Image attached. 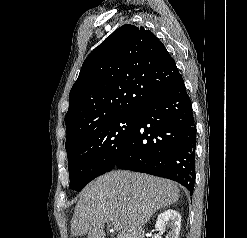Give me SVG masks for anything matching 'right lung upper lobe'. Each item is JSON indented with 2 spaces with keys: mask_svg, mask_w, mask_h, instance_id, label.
Here are the masks:
<instances>
[{
  "mask_svg": "<svg viewBox=\"0 0 247 238\" xmlns=\"http://www.w3.org/2000/svg\"><path fill=\"white\" fill-rule=\"evenodd\" d=\"M174 59L149 30L123 25L84 61L69 94L66 145L89 128L137 113L179 76Z\"/></svg>",
  "mask_w": 247,
  "mask_h": 238,
  "instance_id": "obj_1",
  "label": "right lung upper lobe"
}]
</instances>
